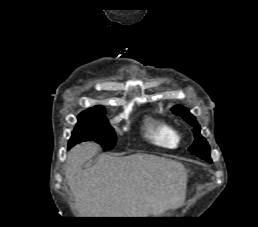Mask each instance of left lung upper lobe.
Listing matches in <instances>:
<instances>
[{
	"mask_svg": "<svg viewBox=\"0 0 258 227\" xmlns=\"http://www.w3.org/2000/svg\"><path fill=\"white\" fill-rule=\"evenodd\" d=\"M173 112L181 116L186 122H188L190 125H192L195 128L194 129L195 141L189 147V151L207 162H212L210 158V147L206 139L200 134V130H199L200 126L197 123L195 117L192 114H190L188 109L182 106H175L173 108Z\"/></svg>",
	"mask_w": 258,
	"mask_h": 227,
	"instance_id": "left-lung-upper-lobe-1",
	"label": "left lung upper lobe"
}]
</instances>
